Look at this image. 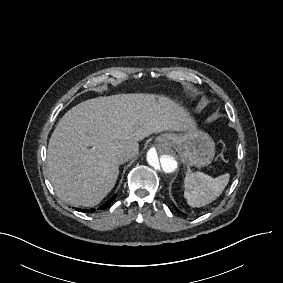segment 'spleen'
<instances>
[{"instance_id": "spleen-1", "label": "spleen", "mask_w": 283, "mask_h": 283, "mask_svg": "<svg viewBox=\"0 0 283 283\" xmlns=\"http://www.w3.org/2000/svg\"><path fill=\"white\" fill-rule=\"evenodd\" d=\"M228 181V173L212 178L203 172L188 169L184 177V197L190 206H204L222 193Z\"/></svg>"}]
</instances>
